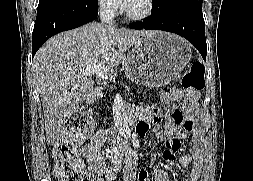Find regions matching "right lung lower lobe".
<instances>
[{"label": "right lung lower lobe", "instance_id": "98d812e1", "mask_svg": "<svg viewBox=\"0 0 253 181\" xmlns=\"http://www.w3.org/2000/svg\"><path fill=\"white\" fill-rule=\"evenodd\" d=\"M97 15V4L87 0H66L37 9L32 33V58L51 36L91 22Z\"/></svg>", "mask_w": 253, "mask_h": 181}]
</instances>
